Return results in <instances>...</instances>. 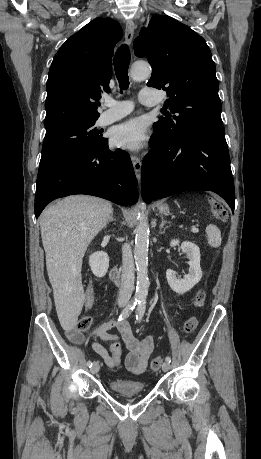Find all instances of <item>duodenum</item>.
I'll return each instance as SVG.
<instances>
[{
	"label": "duodenum",
	"mask_w": 261,
	"mask_h": 459,
	"mask_svg": "<svg viewBox=\"0 0 261 459\" xmlns=\"http://www.w3.org/2000/svg\"><path fill=\"white\" fill-rule=\"evenodd\" d=\"M110 275L114 279H118L120 277V269L118 266H113L110 270Z\"/></svg>",
	"instance_id": "obj_1"
}]
</instances>
